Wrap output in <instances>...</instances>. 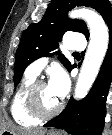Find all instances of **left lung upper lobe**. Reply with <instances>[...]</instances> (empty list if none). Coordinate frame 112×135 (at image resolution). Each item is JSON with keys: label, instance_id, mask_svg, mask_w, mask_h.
<instances>
[{"label": "left lung upper lobe", "instance_id": "left-lung-upper-lobe-1", "mask_svg": "<svg viewBox=\"0 0 112 135\" xmlns=\"http://www.w3.org/2000/svg\"><path fill=\"white\" fill-rule=\"evenodd\" d=\"M76 6H86L98 11L107 23L112 17V4L108 0H53L42 19L30 24L23 32L22 39L16 51L14 85L17 86L25 68L42 56H51L49 52L58 47L66 31L83 33L89 37L87 26L83 20L69 19L66 15ZM58 59L70 71L74 66L60 54Z\"/></svg>", "mask_w": 112, "mask_h": 135}]
</instances>
